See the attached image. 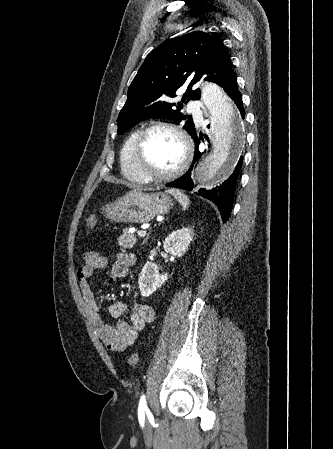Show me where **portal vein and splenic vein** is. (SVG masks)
<instances>
[{
    "mask_svg": "<svg viewBox=\"0 0 333 449\" xmlns=\"http://www.w3.org/2000/svg\"><path fill=\"white\" fill-rule=\"evenodd\" d=\"M137 234L140 237H144V236H146V231L141 230V231H138Z\"/></svg>",
    "mask_w": 333,
    "mask_h": 449,
    "instance_id": "1",
    "label": "portal vein and splenic vein"
}]
</instances>
